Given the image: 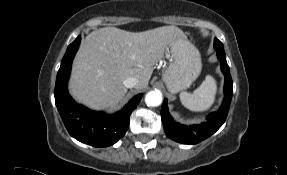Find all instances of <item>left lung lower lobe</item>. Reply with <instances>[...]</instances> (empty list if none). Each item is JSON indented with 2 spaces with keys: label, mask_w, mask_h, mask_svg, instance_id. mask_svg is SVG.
<instances>
[{
  "label": "left lung lower lobe",
  "mask_w": 287,
  "mask_h": 175,
  "mask_svg": "<svg viewBox=\"0 0 287 175\" xmlns=\"http://www.w3.org/2000/svg\"><path fill=\"white\" fill-rule=\"evenodd\" d=\"M217 56L221 63V70L225 76V97L220 109L210 114L208 120L204 123L185 126L172 119L168 111L167 99H165L161 108L162 123L166 135L172 140L183 144H197L214 134L225 122L232 98L233 82L224 50H217Z\"/></svg>",
  "instance_id": "0a47b994"
}]
</instances>
